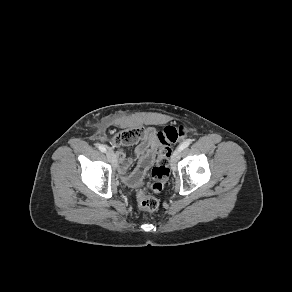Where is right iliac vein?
Listing matches in <instances>:
<instances>
[{
    "instance_id": "right-iliac-vein-1",
    "label": "right iliac vein",
    "mask_w": 292,
    "mask_h": 292,
    "mask_svg": "<svg viewBox=\"0 0 292 292\" xmlns=\"http://www.w3.org/2000/svg\"><path fill=\"white\" fill-rule=\"evenodd\" d=\"M107 157L110 160V162L113 164L114 167L117 166V158L116 155L114 154V152L112 150H108L107 151Z\"/></svg>"
}]
</instances>
